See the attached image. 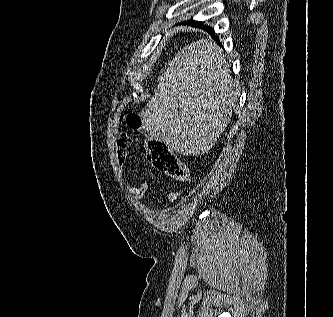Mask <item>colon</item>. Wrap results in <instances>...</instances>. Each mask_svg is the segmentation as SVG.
<instances>
[{
  "mask_svg": "<svg viewBox=\"0 0 333 317\" xmlns=\"http://www.w3.org/2000/svg\"><path fill=\"white\" fill-rule=\"evenodd\" d=\"M124 120L130 128L144 131L147 158L156 169L179 182L189 181L188 166L156 134L144 129L143 121L137 114L130 113Z\"/></svg>",
  "mask_w": 333,
  "mask_h": 317,
  "instance_id": "colon-1",
  "label": "colon"
}]
</instances>
